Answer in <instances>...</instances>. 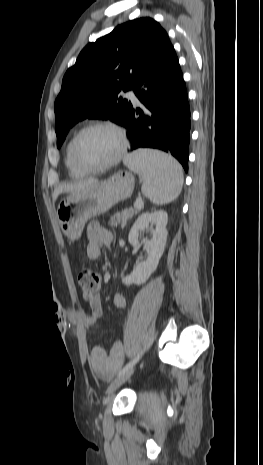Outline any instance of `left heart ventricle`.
I'll use <instances>...</instances> for the list:
<instances>
[{"label":"left heart ventricle","instance_id":"1","mask_svg":"<svg viewBox=\"0 0 263 465\" xmlns=\"http://www.w3.org/2000/svg\"><path fill=\"white\" fill-rule=\"evenodd\" d=\"M119 145V139L112 130L95 128L87 131L80 138L78 157L86 166H99L115 157Z\"/></svg>","mask_w":263,"mask_h":465}]
</instances>
